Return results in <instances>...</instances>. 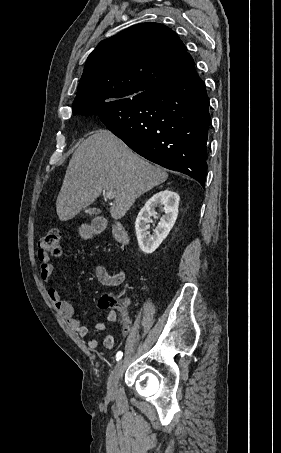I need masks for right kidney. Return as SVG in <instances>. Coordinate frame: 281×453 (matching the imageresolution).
<instances>
[{"mask_svg": "<svg viewBox=\"0 0 281 453\" xmlns=\"http://www.w3.org/2000/svg\"><path fill=\"white\" fill-rule=\"evenodd\" d=\"M179 200L180 196L177 192H173V190H168V188H166V190H160V192L153 194V196L145 202V206L141 208L136 218L135 229L138 245L145 255L154 253L159 245H161L162 241L169 235L177 218ZM159 204H164L163 212H165V214L161 216L158 227H156L152 235H150L148 231V229H150V224H148V222H151L150 216H152V214H157L155 206H159Z\"/></svg>", "mask_w": 281, "mask_h": 453, "instance_id": "1", "label": "right kidney"}]
</instances>
